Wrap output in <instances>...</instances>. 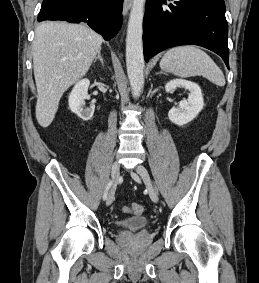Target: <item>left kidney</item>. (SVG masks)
I'll use <instances>...</instances> for the list:
<instances>
[{"label":"left kidney","mask_w":259,"mask_h":283,"mask_svg":"<svg viewBox=\"0 0 259 283\" xmlns=\"http://www.w3.org/2000/svg\"><path fill=\"white\" fill-rule=\"evenodd\" d=\"M178 87L187 89L190 94L187 100L179 102L178 107L170 109L168 117L174 124L182 126L197 117L199 112L203 109L204 102L201 88L191 81L182 79L171 80L165 85V90L168 93L174 91Z\"/></svg>","instance_id":"1"}]
</instances>
